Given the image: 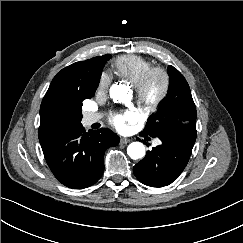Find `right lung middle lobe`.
Wrapping results in <instances>:
<instances>
[{
	"mask_svg": "<svg viewBox=\"0 0 243 243\" xmlns=\"http://www.w3.org/2000/svg\"><path fill=\"white\" fill-rule=\"evenodd\" d=\"M111 58V55L107 54L105 55L104 60L101 63V68H103L104 63ZM84 99H79L76 101L74 104V111H75V121L73 122L72 126H77L80 125V121L82 119V114H81V107H82V101Z\"/></svg>",
	"mask_w": 243,
	"mask_h": 243,
	"instance_id": "right-lung-middle-lobe-1",
	"label": "right lung middle lobe"
}]
</instances>
